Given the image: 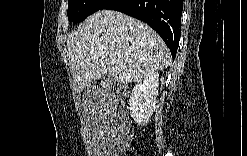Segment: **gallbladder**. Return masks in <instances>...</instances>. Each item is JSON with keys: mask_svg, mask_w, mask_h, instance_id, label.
Listing matches in <instances>:
<instances>
[{"mask_svg": "<svg viewBox=\"0 0 247 156\" xmlns=\"http://www.w3.org/2000/svg\"><path fill=\"white\" fill-rule=\"evenodd\" d=\"M112 82H113L112 78L109 77V75H106V76L103 78L102 84H103V85H111Z\"/></svg>", "mask_w": 247, "mask_h": 156, "instance_id": "bac80fb5", "label": "gallbladder"}]
</instances>
